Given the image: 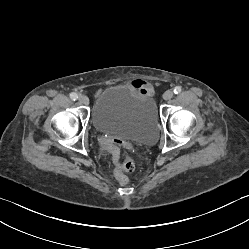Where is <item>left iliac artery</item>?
<instances>
[{"label": "left iliac artery", "instance_id": "44dca946", "mask_svg": "<svg viewBox=\"0 0 249 249\" xmlns=\"http://www.w3.org/2000/svg\"><path fill=\"white\" fill-rule=\"evenodd\" d=\"M181 91H182V88H181L180 86H176V87L174 88V90H173V92H174L175 94H179V93H181Z\"/></svg>", "mask_w": 249, "mask_h": 249}]
</instances>
